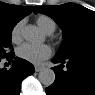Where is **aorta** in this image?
Masks as SVG:
<instances>
[{
  "label": "aorta",
  "instance_id": "obj_1",
  "mask_svg": "<svg viewBox=\"0 0 95 95\" xmlns=\"http://www.w3.org/2000/svg\"><path fill=\"white\" fill-rule=\"evenodd\" d=\"M22 34L26 41L35 42L39 40V34L33 26L25 27ZM38 78L44 86L49 87L55 81V73L50 68H44L39 72Z\"/></svg>",
  "mask_w": 95,
  "mask_h": 95
}]
</instances>
